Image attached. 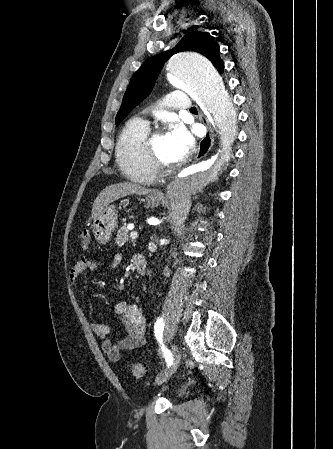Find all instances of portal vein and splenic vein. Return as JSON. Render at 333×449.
<instances>
[{"label":"portal vein and splenic vein","mask_w":333,"mask_h":449,"mask_svg":"<svg viewBox=\"0 0 333 449\" xmlns=\"http://www.w3.org/2000/svg\"><path fill=\"white\" fill-rule=\"evenodd\" d=\"M130 237H131L132 239H136V238H138V233H137L136 231H132V232L130 233Z\"/></svg>","instance_id":"portal-vein-and-splenic-vein-1"}]
</instances>
